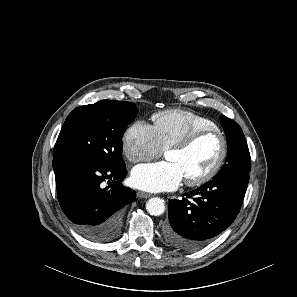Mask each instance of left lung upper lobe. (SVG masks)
Segmentation results:
<instances>
[{"label": "left lung upper lobe", "mask_w": 297, "mask_h": 297, "mask_svg": "<svg viewBox=\"0 0 297 297\" xmlns=\"http://www.w3.org/2000/svg\"><path fill=\"white\" fill-rule=\"evenodd\" d=\"M221 123L227 138V157L218 176H249L251 158L245 136L240 126L226 116L221 117Z\"/></svg>", "instance_id": "obj_1"}]
</instances>
